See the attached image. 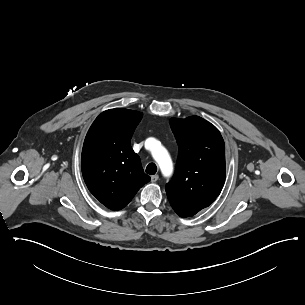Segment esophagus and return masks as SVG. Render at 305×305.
I'll return each mask as SVG.
<instances>
[{"mask_svg": "<svg viewBox=\"0 0 305 305\" xmlns=\"http://www.w3.org/2000/svg\"><path fill=\"white\" fill-rule=\"evenodd\" d=\"M159 176L158 175H152L151 176V182H156L158 180Z\"/></svg>", "mask_w": 305, "mask_h": 305, "instance_id": "1", "label": "esophagus"}]
</instances>
